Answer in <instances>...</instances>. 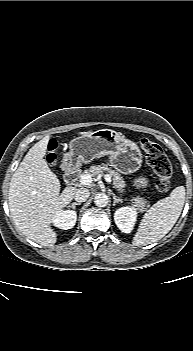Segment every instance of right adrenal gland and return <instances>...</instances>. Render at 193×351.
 <instances>
[{
	"label": "right adrenal gland",
	"mask_w": 193,
	"mask_h": 351,
	"mask_svg": "<svg viewBox=\"0 0 193 351\" xmlns=\"http://www.w3.org/2000/svg\"><path fill=\"white\" fill-rule=\"evenodd\" d=\"M76 205H81V202H73V203L70 205V207L73 208V209H75V206H76Z\"/></svg>",
	"instance_id": "1"
}]
</instances>
